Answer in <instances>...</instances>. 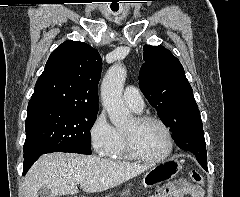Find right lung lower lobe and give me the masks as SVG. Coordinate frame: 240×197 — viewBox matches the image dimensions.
Returning <instances> with one entry per match:
<instances>
[{"label": "right lung lower lobe", "mask_w": 240, "mask_h": 197, "mask_svg": "<svg viewBox=\"0 0 240 197\" xmlns=\"http://www.w3.org/2000/svg\"><path fill=\"white\" fill-rule=\"evenodd\" d=\"M41 155H37L33 157L32 159H28L27 161H24V168H23V175L26 174L28 169L31 167V165L40 157Z\"/></svg>", "instance_id": "98d812e1"}]
</instances>
